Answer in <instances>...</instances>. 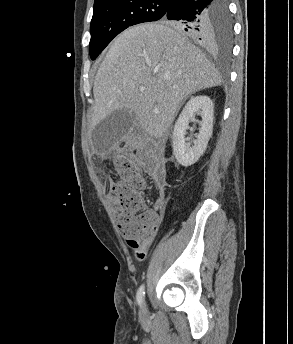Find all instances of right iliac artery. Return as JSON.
Returning <instances> with one entry per match:
<instances>
[{
	"label": "right iliac artery",
	"instance_id": "1",
	"mask_svg": "<svg viewBox=\"0 0 293 344\" xmlns=\"http://www.w3.org/2000/svg\"><path fill=\"white\" fill-rule=\"evenodd\" d=\"M144 294H145L144 285H142V286L139 288V290H138V292H137V296H136L137 302H138V304H139L140 306H142V304H143V301H144Z\"/></svg>",
	"mask_w": 293,
	"mask_h": 344
}]
</instances>
